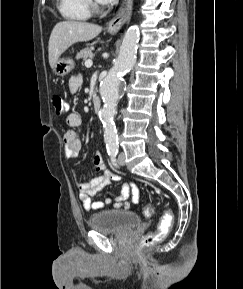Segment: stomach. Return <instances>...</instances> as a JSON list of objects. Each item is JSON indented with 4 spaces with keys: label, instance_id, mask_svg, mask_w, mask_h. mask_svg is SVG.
Instances as JSON below:
<instances>
[{
    "label": "stomach",
    "instance_id": "1",
    "mask_svg": "<svg viewBox=\"0 0 243 289\" xmlns=\"http://www.w3.org/2000/svg\"><path fill=\"white\" fill-rule=\"evenodd\" d=\"M74 65V61L70 58H59L53 70L58 76H65L74 68Z\"/></svg>",
    "mask_w": 243,
    "mask_h": 289
}]
</instances>
